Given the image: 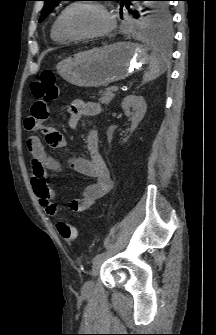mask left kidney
Segmentation results:
<instances>
[{"instance_id": "obj_1", "label": "left kidney", "mask_w": 216, "mask_h": 335, "mask_svg": "<svg viewBox=\"0 0 216 335\" xmlns=\"http://www.w3.org/2000/svg\"><path fill=\"white\" fill-rule=\"evenodd\" d=\"M121 106L125 111L126 116L131 120L130 133H132L143 119L146 113L147 104L142 96L129 95L124 98ZM130 108H132V111H130ZM128 138L129 136L123 139V143L127 142Z\"/></svg>"}]
</instances>
